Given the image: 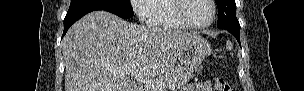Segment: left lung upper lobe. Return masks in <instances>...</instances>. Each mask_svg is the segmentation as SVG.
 Returning <instances> with one entry per match:
<instances>
[{"label":"left lung upper lobe","instance_id":"left-lung-upper-lobe-1","mask_svg":"<svg viewBox=\"0 0 304 91\" xmlns=\"http://www.w3.org/2000/svg\"><path fill=\"white\" fill-rule=\"evenodd\" d=\"M218 11L219 19L217 27L220 29H239L240 24L236 17V4L234 0H215Z\"/></svg>","mask_w":304,"mask_h":91}]
</instances>
